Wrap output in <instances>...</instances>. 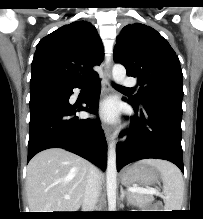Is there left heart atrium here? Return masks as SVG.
<instances>
[{
	"label": "left heart atrium",
	"mask_w": 203,
	"mask_h": 219,
	"mask_svg": "<svg viewBox=\"0 0 203 219\" xmlns=\"http://www.w3.org/2000/svg\"><path fill=\"white\" fill-rule=\"evenodd\" d=\"M100 114L106 120H113L117 115V106L113 101H106L100 107Z\"/></svg>",
	"instance_id": "obj_1"
}]
</instances>
